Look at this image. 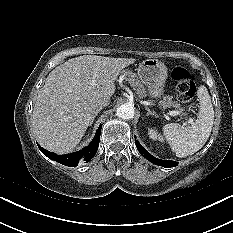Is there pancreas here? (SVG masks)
<instances>
[{
    "instance_id": "obj_1",
    "label": "pancreas",
    "mask_w": 233,
    "mask_h": 233,
    "mask_svg": "<svg viewBox=\"0 0 233 233\" xmlns=\"http://www.w3.org/2000/svg\"><path fill=\"white\" fill-rule=\"evenodd\" d=\"M122 75L124 76V79L130 83V85L136 91V93L138 94L140 98H143L146 96V89L144 88L143 84L140 82L136 74H134L130 70H123ZM160 103L164 108L173 107V108L181 110L180 104L177 101H173L172 98L169 96L163 97ZM182 115L186 116L187 114L182 113Z\"/></svg>"
}]
</instances>
